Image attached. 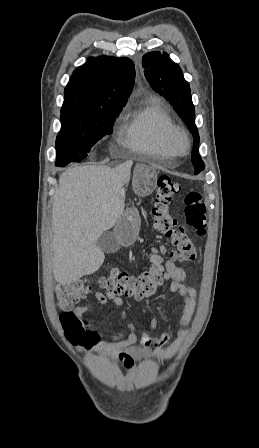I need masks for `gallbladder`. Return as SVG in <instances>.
Returning <instances> with one entry per match:
<instances>
[{
  "mask_svg": "<svg viewBox=\"0 0 259 448\" xmlns=\"http://www.w3.org/2000/svg\"><path fill=\"white\" fill-rule=\"evenodd\" d=\"M96 246L105 254H113L120 248V244L113 232H103L102 236L98 238Z\"/></svg>",
  "mask_w": 259,
  "mask_h": 448,
  "instance_id": "obj_1",
  "label": "gallbladder"
}]
</instances>
